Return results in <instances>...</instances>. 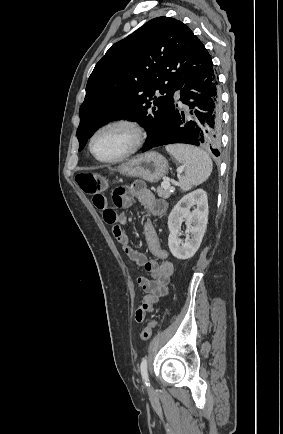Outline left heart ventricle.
Here are the masks:
<instances>
[{
	"mask_svg": "<svg viewBox=\"0 0 283 434\" xmlns=\"http://www.w3.org/2000/svg\"><path fill=\"white\" fill-rule=\"evenodd\" d=\"M132 144V134L124 127H110L100 132L93 148L101 158H113L126 152Z\"/></svg>",
	"mask_w": 283,
	"mask_h": 434,
	"instance_id": "b2bd125f",
	"label": "left heart ventricle"
}]
</instances>
